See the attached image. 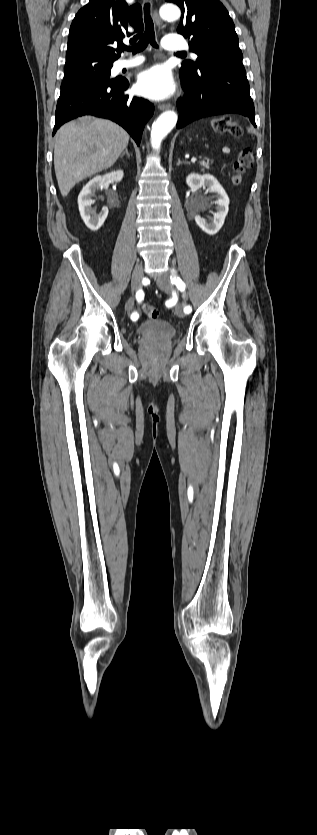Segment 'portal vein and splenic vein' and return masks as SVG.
<instances>
[{
	"mask_svg": "<svg viewBox=\"0 0 317 835\" xmlns=\"http://www.w3.org/2000/svg\"><path fill=\"white\" fill-rule=\"evenodd\" d=\"M195 160H196V158H192V161H195Z\"/></svg>",
	"mask_w": 317,
	"mask_h": 835,
	"instance_id": "1",
	"label": "portal vein and splenic vein"
}]
</instances>
